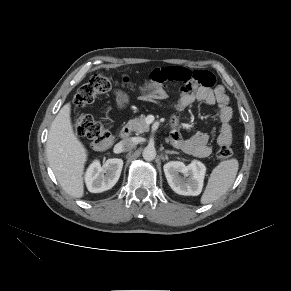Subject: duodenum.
I'll return each mask as SVG.
<instances>
[{"instance_id": "410a0bca", "label": "duodenum", "mask_w": 291, "mask_h": 291, "mask_svg": "<svg viewBox=\"0 0 291 291\" xmlns=\"http://www.w3.org/2000/svg\"><path fill=\"white\" fill-rule=\"evenodd\" d=\"M130 127L128 126V125H125L122 129H121V131H120V137L122 138V139H126V138H128L129 137V135H130Z\"/></svg>"}]
</instances>
